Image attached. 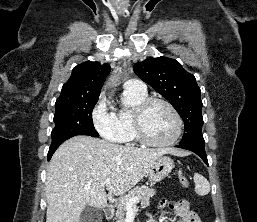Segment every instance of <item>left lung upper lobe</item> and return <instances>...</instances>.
<instances>
[{
	"label": "left lung upper lobe",
	"mask_w": 257,
	"mask_h": 222,
	"mask_svg": "<svg viewBox=\"0 0 257 222\" xmlns=\"http://www.w3.org/2000/svg\"><path fill=\"white\" fill-rule=\"evenodd\" d=\"M133 70L165 97L183 118L185 133L180 145L205 146L201 90L194 75L188 73L178 61L164 56L136 63Z\"/></svg>",
	"instance_id": "left-lung-upper-lobe-1"
}]
</instances>
